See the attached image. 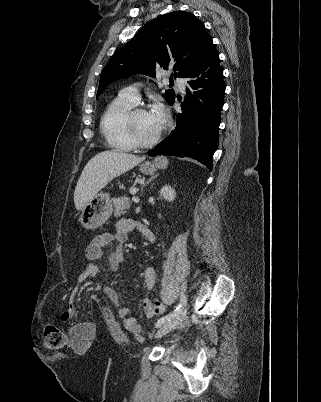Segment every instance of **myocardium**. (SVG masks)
<instances>
[{
	"instance_id": "myocardium-1",
	"label": "myocardium",
	"mask_w": 321,
	"mask_h": 402,
	"mask_svg": "<svg viewBox=\"0 0 321 402\" xmlns=\"http://www.w3.org/2000/svg\"><path fill=\"white\" fill-rule=\"evenodd\" d=\"M145 111H146V109L143 107H133L126 113V116L124 119V126H125V131L127 133V136L136 148L146 149V148L153 147L154 145H156L159 142V140L163 136L165 130L169 126L168 120H165L161 129L158 131V133L152 139H150L148 141L142 140L136 132V129L134 126V116L139 112H145Z\"/></svg>"
}]
</instances>
